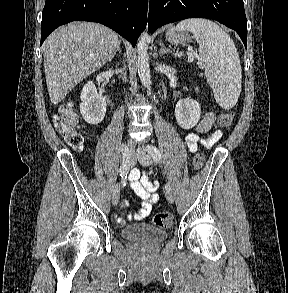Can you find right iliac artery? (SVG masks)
Returning <instances> with one entry per match:
<instances>
[{
    "mask_svg": "<svg viewBox=\"0 0 288 293\" xmlns=\"http://www.w3.org/2000/svg\"><path fill=\"white\" fill-rule=\"evenodd\" d=\"M128 152H129V147H122L121 148V157H122L123 164L120 167V176H121L122 170H129V168H130V164L128 165V163H129Z\"/></svg>",
    "mask_w": 288,
    "mask_h": 293,
    "instance_id": "1",
    "label": "right iliac artery"
}]
</instances>
